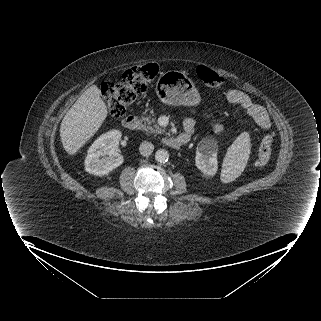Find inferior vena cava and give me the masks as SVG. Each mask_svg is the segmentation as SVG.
Wrapping results in <instances>:
<instances>
[{"label": "inferior vena cava", "instance_id": "1", "mask_svg": "<svg viewBox=\"0 0 321 321\" xmlns=\"http://www.w3.org/2000/svg\"><path fill=\"white\" fill-rule=\"evenodd\" d=\"M154 150V146L151 142L144 141L140 144L139 151L143 156H149Z\"/></svg>", "mask_w": 321, "mask_h": 321}]
</instances>
